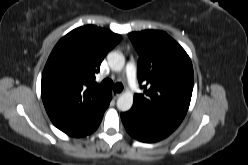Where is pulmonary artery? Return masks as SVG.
I'll return each instance as SVG.
<instances>
[{
	"instance_id": "1",
	"label": "pulmonary artery",
	"mask_w": 248,
	"mask_h": 165,
	"mask_svg": "<svg viewBox=\"0 0 248 165\" xmlns=\"http://www.w3.org/2000/svg\"><path fill=\"white\" fill-rule=\"evenodd\" d=\"M125 72H126V78H127V82H128L130 89L133 92L138 93L139 84L137 80L136 66L132 63H128L126 66Z\"/></svg>"
}]
</instances>
